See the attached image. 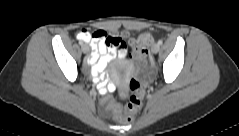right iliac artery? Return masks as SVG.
<instances>
[{
	"instance_id": "1",
	"label": "right iliac artery",
	"mask_w": 239,
	"mask_h": 136,
	"mask_svg": "<svg viewBox=\"0 0 239 136\" xmlns=\"http://www.w3.org/2000/svg\"><path fill=\"white\" fill-rule=\"evenodd\" d=\"M79 45H80V46H83V45H84V42H83V41H79Z\"/></svg>"
}]
</instances>
